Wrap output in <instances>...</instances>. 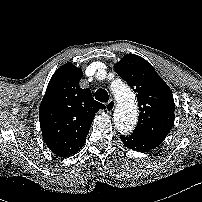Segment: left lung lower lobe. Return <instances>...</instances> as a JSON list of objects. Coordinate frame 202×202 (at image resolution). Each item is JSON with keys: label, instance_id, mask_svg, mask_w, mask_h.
Masks as SVG:
<instances>
[{"label": "left lung lower lobe", "instance_id": "obj_1", "mask_svg": "<svg viewBox=\"0 0 202 202\" xmlns=\"http://www.w3.org/2000/svg\"><path fill=\"white\" fill-rule=\"evenodd\" d=\"M120 139L129 149L138 152H148L158 147L163 142V140L160 138L141 136L136 134H131L129 136L120 135Z\"/></svg>", "mask_w": 202, "mask_h": 202}]
</instances>
